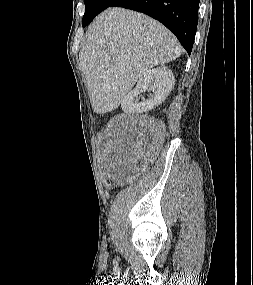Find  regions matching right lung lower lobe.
I'll list each match as a JSON object with an SVG mask.
<instances>
[{"label": "right lung lower lobe", "instance_id": "obj_1", "mask_svg": "<svg viewBox=\"0 0 253 285\" xmlns=\"http://www.w3.org/2000/svg\"><path fill=\"white\" fill-rule=\"evenodd\" d=\"M200 0H115L109 7H124L163 23L191 54Z\"/></svg>", "mask_w": 253, "mask_h": 285}]
</instances>
